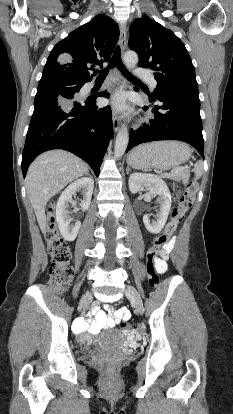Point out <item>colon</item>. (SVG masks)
Instances as JSON below:
<instances>
[{"instance_id":"obj_1","label":"colon","mask_w":233,"mask_h":414,"mask_svg":"<svg viewBox=\"0 0 233 414\" xmlns=\"http://www.w3.org/2000/svg\"><path fill=\"white\" fill-rule=\"evenodd\" d=\"M196 184L190 181L185 186V191L180 195L178 205L172 210L171 220L169 221L165 232L158 236L155 241L147 261V275L151 286L158 283V273L155 267V261L163 254L165 246L170 242L177 224L182 220L185 213L190 209L194 202ZM45 238L48 245V251L52 257V264L49 271V285L56 291H60L64 286L69 284L73 278L74 271L69 264L71 253L68 243L61 237L55 221V209L51 205L48 209V227L45 232ZM120 327L123 331L129 332L130 325L122 321ZM108 371L112 370V364L105 365Z\"/></svg>"}]
</instances>
